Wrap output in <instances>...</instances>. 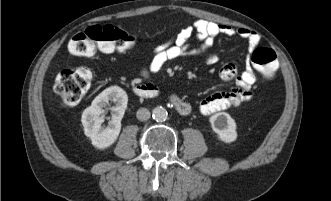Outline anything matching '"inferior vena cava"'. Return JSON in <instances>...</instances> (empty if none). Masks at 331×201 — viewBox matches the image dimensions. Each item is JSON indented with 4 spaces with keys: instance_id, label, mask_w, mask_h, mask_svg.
I'll list each match as a JSON object with an SVG mask.
<instances>
[{
    "instance_id": "inferior-vena-cava-1",
    "label": "inferior vena cava",
    "mask_w": 331,
    "mask_h": 201,
    "mask_svg": "<svg viewBox=\"0 0 331 201\" xmlns=\"http://www.w3.org/2000/svg\"><path fill=\"white\" fill-rule=\"evenodd\" d=\"M151 113L147 108H140L136 113V117L140 121H146L150 118Z\"/></svg>"
}]
</instances>
